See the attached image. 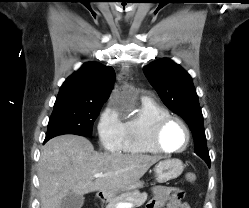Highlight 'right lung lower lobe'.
I'll return each instance as SVG.
<instances>
[{"mask_svg":"<svg viewBox=\"0 0 249 208\" xmlns=\"http://www.w3.org/2000/svg\"><path fill=\"white\" fill-rule=\"evenodd\" d=\"M50 138H45V141H44V143L46 142V141H48Z\"/></svg>","mask_w":249,"mask_h":208,"instance_id":"1","label":"right lung lower lobe"}]
</instances>
